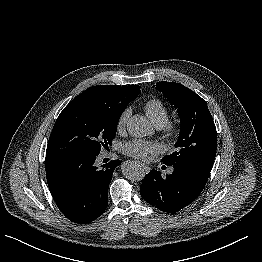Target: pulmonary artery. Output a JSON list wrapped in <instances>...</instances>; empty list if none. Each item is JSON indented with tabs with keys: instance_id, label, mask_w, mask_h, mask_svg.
<instances>
[{
	"instance_id": "1",
	"label": "pulmonary artery",
	"mask_w": 262,
	"mask_h": 262,
	"mask_svg": "<svg viewBox=\"0 0 262 262\" xmlns=\"http://www.w3.org/2000/svg\"><path fill=\"white\" fill-rule=\"evenodd\" d=\"M157 128H160V127H157ZM172 172H173V169H170V170H169V173H172Z\"/></svg>"
}]
</instances>
